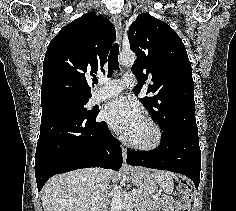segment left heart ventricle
Wrapping results in <instances>:
<instances>
[{
  "label": "left heart ventricle",
  "mask_w": 236,
  "mask_h": 211,
  "mask_svg": "<svg viewBox=\"0 0 236 211\" xmlns=\"http://www.w3.org/2000/svg\"><path fill=\"white\" fill-rule=\"evenodd\" d=\"M135 141L149 142L152 139V130L149 125L142 120L140 124L129 135Z\"/></svg>",
  "instance_id": "left-heart-ventricle-1"
}]
</instances>
